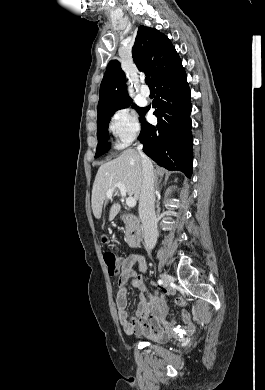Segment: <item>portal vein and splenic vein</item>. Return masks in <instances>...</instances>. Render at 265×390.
I'll use <instances>...</instances> for the list:
<instances>
[{
    "mask_svg": "<svg viewBox=\"0 0 265 390\" xmlns=\"http://www.w3.org/2000/svg\"><path fill=\"white\" fill-rule=\"evenodd\" d=\"M115 188H118L120 190L121 196L126 197V186L123 183H116L114 187H112L110 190L107 191L106 197L112 198L113 191ZM126 204L128 207H134L136 205V199L132 196L126 198Z\"/></svg>",
    "mask_w": 265,
    "mask_h": 390,
    "instance_id": "obj_1",
    "label": "portal vein and splenic vein"
}]
</instances>
